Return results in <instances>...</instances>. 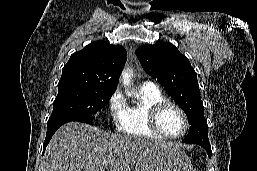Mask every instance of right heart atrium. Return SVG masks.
<instances>
[{"instance_id":"obj_1","label":"right heart atrium","mask_w":257,"mask_h":171,"mask_svg":"<svg viewBox=\"0 0 257 171\" xmlns=\"http://www.w3.org/2000/svg\"><path fill=\"white\" fill-rule=\"evenodd\" d=\"M126 110V103L119 91H115L108 99V111L112 123L119 128Z\"/></svg>"}]
</instances>
